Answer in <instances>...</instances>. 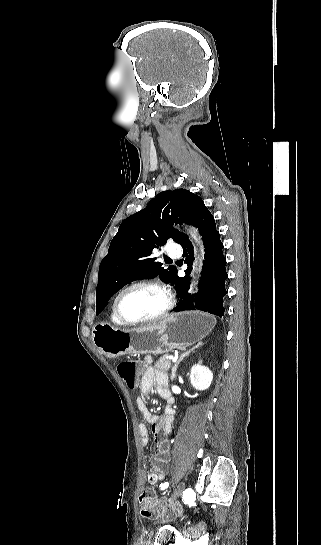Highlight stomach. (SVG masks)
I'll use <instances>...</instances> for the list:
<instances>
[{
    "label": "stomach",
    "mask_w": 321,
    "mask_h": 545,
    "mask_svg": "<svg viewBox=\"0 0 321 545\" xmlns=\"http://www.w3.org/2000/svg\"><path fill=\"white\" fill-rule=\"evenodd\" d=\"M216 325L215 317L184 311L174 313L163 321L138 327V329H115L109 323H96L92 331L95 347L102 355L120 357V355H163L173 349H185L209 335Z\"/></svg>",
    "instance_id": "0dacf381"
}]
</instances>
